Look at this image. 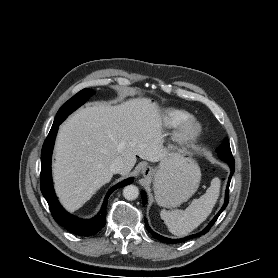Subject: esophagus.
<instances>
[{
    "label": "esophagus",
    "mask_w": 278,
    "mask_h": 278,
    "mask_svg": "<svg viewBox=\"0 0 278 278\" xmlns=\"http://www.w3.org/2000/svg\"><path fill=\"white\" fill-rule=\"evenodd\" d=\"M153 173V169L150 167V166H143L141 168V174L144 176V177H149L151 176Z\"/></svg>",
    "instance_id": "34e87169"
}]
</instances>
